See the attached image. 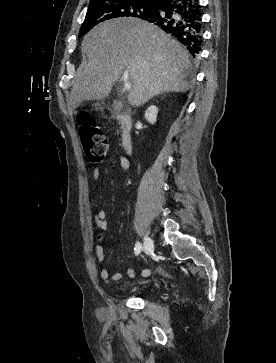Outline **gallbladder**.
I'll return each mask as SVG.
<instances>
[{"label": "gallbladder", "mask_w": 276, "mask_h": 363, "mask_svg": "<svg viewBox=\"0 0 276 363\" xmlns=\"http://www.w3.org/2000/svg\"><path fill=\"white\" fill-rule=\"evenodd\" d=\"M114 108L117 109L118 108V102L115 101L114 104H113Z\"/></svg>", "instance_id": "bac80fb5"}]
</instances>
